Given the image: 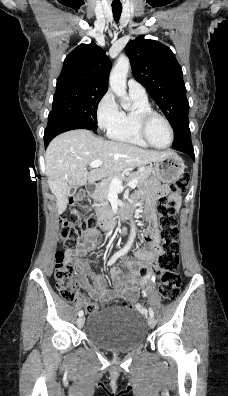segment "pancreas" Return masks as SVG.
<instances>
[{
  "label": "pancreas",
  "mask_w": 228,
  "mask_h": 396,
  "mask_svg": "<svg viewBox=\"0 0 228 396\" xmlns=\"http://www.w3.org/2000/svg\"><path fill=\"white\" fill-rule=\"evenodd\" d=\"M151 174H152V169L150 167H146L143 170H140L137 172H132L128 176L118 174L115 176V178L120 179L122 182L123 181L129 182V181L133 180L134 178H137L138 181H137L136 186H141L147 181V179L149 178V176ZM111 180L112 179L103 180L97 186V189L93 196L94 201L101 204L100 207L95 208V212H96L97 218L99 220H107L112 217V211H111L110 205L108 203V197L111 192V187H110Z\"/></svg>",
  "instance_id": "1"
}]
</instances>
